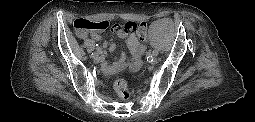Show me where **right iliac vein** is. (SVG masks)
<instances>
[{
    "mask_svg": "<svg viewBox=\"0 0 255 122\" xmlns=\"http://www.w3.org/2000/svg\"><path fill=\"white\" fill-rule=\"evenodd\" d=\"M93 60H94L95 63L100 62V56H99L98 54L95 55V56L93 57Z\"/></svg>",
    "mask_w": 255,
    "mask_h": 122,
    "instance_id": "right-iliac-vein-1",
    "label": "right iliac vein"
}]
</instances>
